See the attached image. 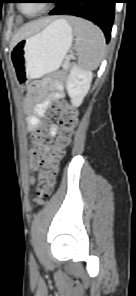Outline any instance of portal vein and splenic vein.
<instances>
[{"mask_svg":"<svg viewBox=\"0 0 136 296\" xmlns=\"http://www.w3.org/2000/svg\"><path fill=\"white\" fill-rule=\"evenodd\" d=\"M68 65H69V61H67L65 64H64V68H67L68 67Z\"/></svg>","mask_w":136,"mask_h":296,"instance_id":"obj_1","label":"portal vein and splenic vein"}]
</instances>
